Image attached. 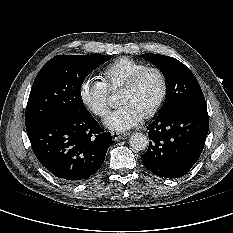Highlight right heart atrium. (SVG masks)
I'll use <instances>...</instances> for the list:
<instances>
[{
  "instance_id": "1",
  "label": "right heart atrium",
  "mask_w": 233,
  "mask_h": 233,
  "mask_svg": "<svg viewBox=\"0 0 233 233\" xmlns=\"http://www.w3.org/2000/svg\"><path fill=\"white\" fill-rule=\"evenodd\" d=\"M83 104L95 115L105 116L109 112V89L97 77H88L80 85Z\"/></svg>"
}]
</instances>
